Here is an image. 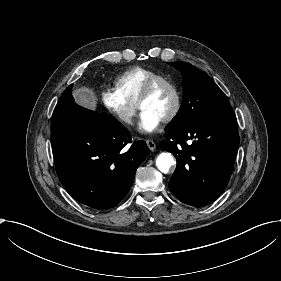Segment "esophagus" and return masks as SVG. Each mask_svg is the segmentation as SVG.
Here are the masks:
<instances>
[{
  "label": "esophagus",
  "instance_id": "34e87169",
  "mask_svg": "<svg viewBox=\"0 0 281 281\" xmlns=\"http://www.w3.org/2000/svg\"><path fill=\"white\" fill-rule=\"evenodd\" d=\"M146 144L151 151H154L156 148V144L152 140H146Z\"/></svg>",
  "mask_w": 281,
  "mask_h": 281
}]
</instances>
